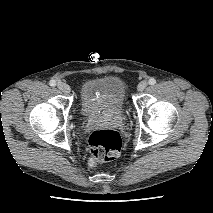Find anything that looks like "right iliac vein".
<instances>
[{
    "label": "right iliac vein",
    "mask_w": 213,
    "mask_h": 213,
    "mask_svg": "<svg viewBox=\"0 0 213 213\" xmlns=\"http://www.w3.org/2000/svg\"><path fill=\"white\" fill-rule=\"evenodd\" d=\"M57 87L59 90H61L63 93H69L70 92V87L67 83L65 82H58Z\"/></svg>",
    "instance_id": "right-iliac-vein-1"
}]
</instances>
